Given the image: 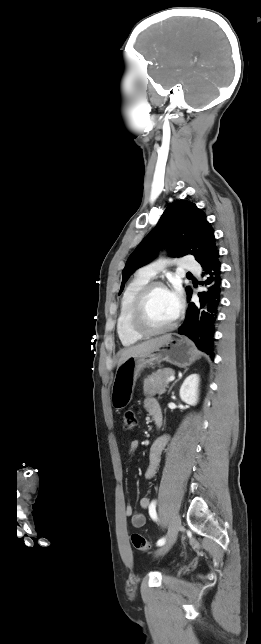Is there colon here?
I'll return each instance as SVG.
<instances>
[{"label": "colon", "instance_id": "1", "mask_svg": "<svg viewBox=\"0 0 261 644\" xmlns=\"http://www.w3.org/2000/svg\"><path fill=\"white\" fill-rule=\"evenodd\" d=\"M137 426V417L135 411L129 409L123 416V428L126 431H133ZM133 546L137 550L145 551L150 548V541L140 534H133L131 536Z\"/></svg>", "mask_w": 261, "mask_h": 644}]
</instances>
